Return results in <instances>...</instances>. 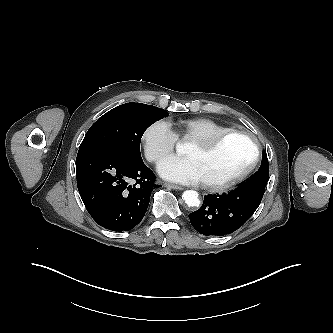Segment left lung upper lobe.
<instances>
[{
	"label": "left lung upper lobe",
	"mask_w": 333,
	"mask_h": 333,
	"mask_svg": "<svg viewBox=\"0 0 333 333\" xmlns=\"http://www.w3.org/2000/svg\"><path fill=\"white\" fill-rule=\"evenodd\" d=\"M269 178V165L266 151H263L262 163L259 170L246 182L242 183L240 187L249 188H263L265 189Z\"/></svg>",
	"instance_id": "left-lung-upper-lobe-1"
}]
</instances>
